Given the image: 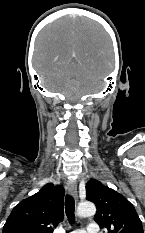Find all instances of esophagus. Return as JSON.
<instances>
[{
  "mask_svg": "<svg viewBox=\"0 0 145 233\" xmlns=\"http://www.w3.org/2000/svg\"><path fill=\"white\" fill-rule=\"evenodd\" d=\"M67 190L76 200H78V191L75 182L67 181Z\"/></svg>",
  "mask_w": 145,
  "mask_h": 233,
  "instance_id": "obj_1",
  "label": "esophagus"
}]
</instances>
